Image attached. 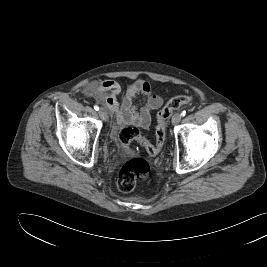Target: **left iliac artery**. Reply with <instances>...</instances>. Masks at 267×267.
I'll return each instance as SVG.
<instances>
[{"label": "left iliac artery", "mask_w": 267, "mask_h": 267, "mask_svg": "<svg viewBox=\"0 0 267 267\" xmlns=\"http://www.w3.org/2000/svg\"><path fill=\"white\" fill-rule=\"evenodd\" d=\"M186 115V111L181 112V116L184 117Z\"/></svg>", "instance_id": "left-iliac-artery-1"}]
</instances>
